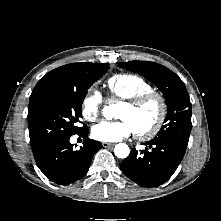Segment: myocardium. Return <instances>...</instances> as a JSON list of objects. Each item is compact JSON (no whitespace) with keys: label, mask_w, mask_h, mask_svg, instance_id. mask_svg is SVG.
<instances>
[{"label":"myocardium","mask_w":221,"mask_h":221,"mask_svg":"<svg viewBox=\"0 0 221 221\" xmlns=\"http://www.w3.org/2000/svg\"><path fill=\"white\" fill-rule=\"evenodd\" d=\"M151 102H154L157 105L158 115L151 127L143 131H135V135L139 140H150L155 137L161 130L167 115L166 99L160 92L151 90L135 98L122 102V105L128 106L134 110H138Z\"/></svg>","instance_id":"1"}]
</instances>
